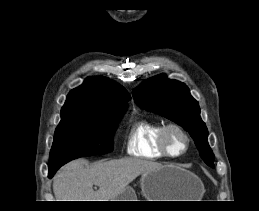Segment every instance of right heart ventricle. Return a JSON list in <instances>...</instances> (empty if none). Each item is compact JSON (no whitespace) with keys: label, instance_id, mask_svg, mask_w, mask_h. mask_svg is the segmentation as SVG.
<instances>
[{"label":"right heart ventricle","instance_id":"right-heart-ventricle-1","mask_svg":"<svg viewBox=\"0 0 259 211\" xmlns=\"http://www.w3.org/2000/svg\"><path fill=\"white\" fill-rule=\"evenodd\" d=\"M164 123L150 118L133 121L127 132L126 151L133 157L159 160L167 156L159 147V134Z\"/></svg>","mask_w":259,"mask_h":211}]
</instances>
